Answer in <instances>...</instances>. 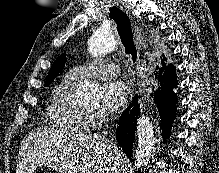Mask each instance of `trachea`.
I'll return each mask as SVG.
<instances>
[{
    "instance_id": "trachea-1",
    "label": "trachea",
    "mask_w": 219,
    "mask_h": 173,
    "mask_svg": "<svg viewBox=\"0 0 219 173\" xmlns=\"http://www.w3.org/2000/svg\"><path fill=\"white\" fill-rule=\"evenodd\" d=\"M109 16L117 24V31L125 48V53L131 55L133 62H135L137 59V49L133 41V32L129 17L115 6L110 8Z\"/></svg>"
}]
</instances>
